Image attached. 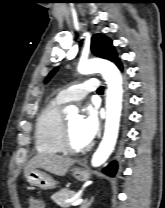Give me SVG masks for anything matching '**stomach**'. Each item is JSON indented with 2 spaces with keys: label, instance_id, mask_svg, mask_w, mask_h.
<instances>
[{
  "label": "stomach",
  "instance_id": "0dacf381",
  "mask_svg": "<svg viewBox=\"0 0 165 208\" xmlns=\"http://www.w3.org/2000/svg\"><path fill=\"white\" fill-rule=\"evenodd\" d=\"M73 176L79 181H85L88 179V173L80 168H73L71 170ZM26 181L35 187H39L42 190L53 189L56 186L55 181L47 173L38 169H31L25 173Z\"/></svg>",
  "mask_w": 165,
  "mask_h": 208
}]
</instances>
